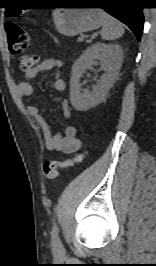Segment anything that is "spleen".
<instances>
[{"instance_id": "1", "label": "spleen", "mask_w": 156, "mask_h": 266, "mask_svg": "<svg viewBox=\"0 0 156 266\" xmlns=\"http://www.w3.org/2000/svg\"><path fill=\"white\" fill-rule=\"evenodd\" d=\"M102 19L101 36L104 40H116L124 34L122 24L103 10L99 12Z\"/></svg>"}]
</instances>
